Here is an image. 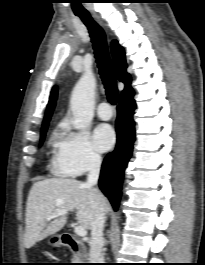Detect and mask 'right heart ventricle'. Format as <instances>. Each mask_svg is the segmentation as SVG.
<instances>
[{
	"mask_svg": "<svg viewBox=\"0 0 205 265\" xmlns=\"http://www.w3.org/2000/svg\"><path fill=\"white\" fill-rule=\"evenodd\" d=\"M55 142H56V138H53V139H52V143H55Z\"/></svg>",
	"mask_w": 205,
	"mask_h": 265,
	"instance_id": "1",
	"label": "right heart ventricle"
}]
</instances>
